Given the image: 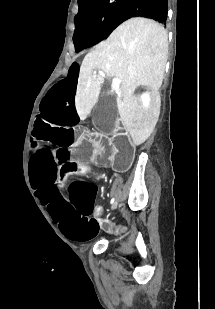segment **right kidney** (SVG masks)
<instances>
[{
  "label": "right kidney",
  "mask_w": 215,
  "mask_h": 309,
  "mask_svg": "<svg viewBox=\"0 0 215 309\" xmlns=\"http://www.w3.org/2000/svg\"><path fill=\"white\" fill-rule=\"evenodd\" d=\"M141 100L143 102V106H149V104H150V96H149V94H142Z\"/></svg>",
  "instance_id": "1"
}]
</instances>
